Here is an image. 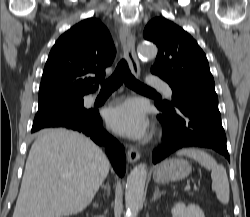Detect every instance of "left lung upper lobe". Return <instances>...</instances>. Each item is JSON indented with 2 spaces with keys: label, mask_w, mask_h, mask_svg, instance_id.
I'll return each mask as SVG.
<instances>
[{
  "label": "left lung upper lobe",
  "mask_w": 250,
  "mask_h": 217,
  "mask_svg": "<svg viewBox=\"0 0 250 217\" xmlns=\"http://www.w3.org/2000/svg\"><path fill=\"white\" fill-rule=\"evenodd\" d=\"M144 38L158 46L151 72L166 81L173 91L172 102L159 104L173 109L185 97L217 96L206 55L181 27L164 17H156L145 27Z\"/></svg>",
  "instance_id": "1"
}]
</instances>
